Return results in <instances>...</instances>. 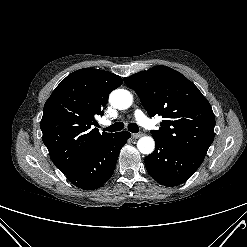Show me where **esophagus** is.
Segmentation results:
<instances>
[{
	"label": "esophagus",
	"instance_id": "obj_1",
	"mask_svg": "<svg viewBox=\"0 0 247 247\" xmlns=\"http://www.w3.org/2000/svg\"><path fill=\"white\" fill-rule=\"evenodd\" d=\"M141 136H143V133L142 132L132 133L131 134V137L134 138V139L140 138Z\"/></svg>",
	"mask_w": 247,
	"mask_h": 247
}]
</instances>
